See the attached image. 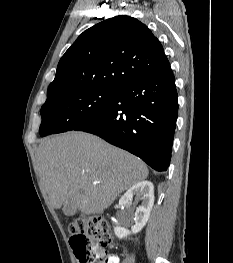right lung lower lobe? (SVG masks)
<instances>
[{"mask_svg": "<svg viewBox=\"0 0 233 263\" xmlns=\"http://www.w3.org/2000/svg\"><path fill=\"white\" fill-rule=\"evenodd\" d=\"M178 95L173 72L117 89L110 105L73 130L95 134L140 157L157 171L170 163Z\"/></svg>", "mask_w": 233, "mask_h": 263, "instance_id": "right-lung-lower-lobe-1", "label": "right lung lower lobe"}]
</instances>
